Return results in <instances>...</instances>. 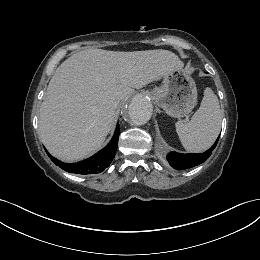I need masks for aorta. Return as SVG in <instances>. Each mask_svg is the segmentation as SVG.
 Masks as SVG:
<instances>
[{
    "instance_id": "aorta-1",
    "label": "aorta",
    "mask_w": 260,
    "mask_h": 260,
    "mask_svg": "<svg viewBox=\"0 0 260 260\" xmlns=\"http://www.w3.org/2000/svg\"><path fill=\"white\" fill-rule=\"evenodd\" d=\"M152 115V104L147 96H135L128 106V120L132 125L146 124Z\"/></svg>"
}]
</instances>
